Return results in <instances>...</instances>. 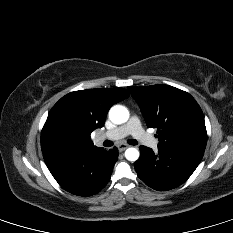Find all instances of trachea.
Masks as SVG:
<instances>
[{
  "mask_svg": "<svg viewBox=\"0 0 233 233\" xmlns=\"http://www.w3.org/2000/svg\"><path fill=\"white\" fill-rule=\"evenodd\" d=\"M127 142H128L130 145H136V144H137V141L134 140V139H130V140H128ZM103 145H104L105 147H111V146L113 145V142L110 141V140H105V141L103 142Z\"/></svg>",
  "mask_w": 233,
  "mask_h": 233,
  "instance_id": "obj_1",
  "label": "trachea"
}]
</instances>
